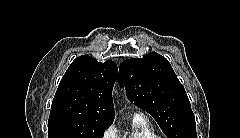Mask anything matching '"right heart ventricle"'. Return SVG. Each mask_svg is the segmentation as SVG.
<instances>
[{"label":"right heart ventricle","mask_w":240,"mask_h":138,"mask_svg":"<svg viewBox=\"0 0 240 138\" xmlns=\"http://www.w3.org/2000/svg\"><path fill=\"white\" fill-rule=\"evenodd\" d=\"M119 138H157L151 124L141 115H135L131 129Z\"/></svg>","instance_id":"right-heart-ventricle-1"}]
</instances>
